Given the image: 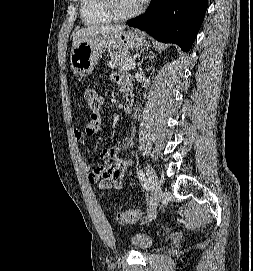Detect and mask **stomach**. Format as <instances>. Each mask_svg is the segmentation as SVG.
<instances>
[{
  "label": "stomach",
  "mask_w": 253,
  "mask_h": 271,
  "mask_svg": "<svg viewBox=\"0 0 253 271\" xmlns=\"http://www.w3.org/2000/svg\"><path fill=\"white\" fill-rule=\"evenodd\" d=\"M147 46L145 36L139 30L94 35L80 40L70 55L71 68L75 74L85 77L92 73L98 58L105 50L127 51Z\"/></svg>",
  "instance_id": "1"
}]
</instances>
